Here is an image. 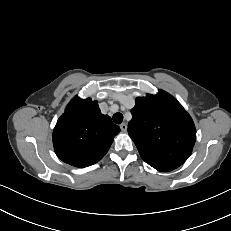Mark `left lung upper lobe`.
<instances>
[{
  "label": "left lung upper lobe",
  "mask_w": 231,
  "mask_h": 231,
  "mask_svg": "<svg viewBox=\"0 0 231 231\" xmlns=\"http://www.w3.org/2000/svg\"><path fill=\"white\" fill-rule=\"evenodd\" d=\"M128 133L142 159L161 172L181 166L191 155L196 129L191 116L169 93L137 97Z\"/></svg>",
  "instance_id": "left-lung-upper-lobe-1"
}]
</instances>
